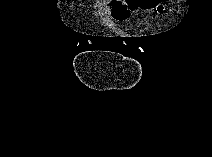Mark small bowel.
Here are the masks:
<instances>
[{
  "mask_svg": "<svg viewBox=\"0 0 212 157\" xmlns=\"http://www.w3.org/2000/svg\"><path fill=\"white\" fill-rule=\"evenodd\" d=\"M165 0H114L102 5V14L116 21H126L139 10L162 11Z\"/></svg>",
  "mask_w": 212,
  "mask_h": 157,
  "instance_id": "obj_1",
  "label": "small bowel"
}]
</instances>
